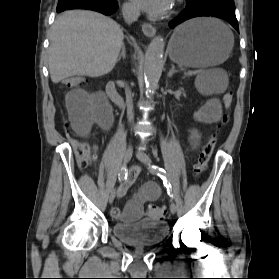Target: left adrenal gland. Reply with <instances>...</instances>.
Masks as SVG:
<instances>
[{"label":"left adrenal gland","instance_id":"left-adrenal-gland-1","mask_svg":"<svg viewBox=\"0 0 279 279\" xmlns=\"http://www.w3.org/2000/svg\"><path fill=\"white\" fill-rule=\"evenodd\" d=\"M174 73H177V71L175 70V66L171 65V70L168 73V77L171 78Z\"/></svg>","mask_w":279,"mask_h":279}]
</instances>
